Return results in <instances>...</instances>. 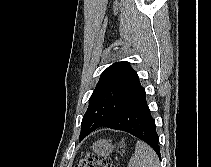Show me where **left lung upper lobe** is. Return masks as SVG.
<instances>
[{"label":"left lung upper lobe","instance_id":"left-lung-upper-lobe-1","mask_svg":"<svg viewBox=\"0 0 211 167\" xmlns=\"http://www.w3.org/2000/svg\"><path fill=\"white\" fill-rule=\"evenodd\" d=\"M143 91L137 73L128 62H116L106 68L89 99L79 139L109 122Z\"/></svg>","mask_w":211,"mask_h":167}]
</instances>
